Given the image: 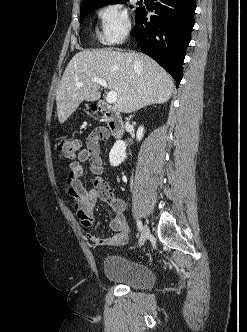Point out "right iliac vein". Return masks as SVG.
Listing matches in <instances>:
<instances>
[{
    "mask_svg": "<svg viewBox=\"0 0 247 332\" xmlns=\"http://www.w3.org/2000/svg\"><path fill=\"white\" fill-rule=\"evenodd\" d=\"M149 234H150L149 228H148L147 225H145L143 227V230H142V233H141V236H140V239H139V246H142L145 243V241L148 238Z\"/></svg>",
    "mask_w": 247,
    "mask_h": 332,
    "instance_id": "63e3f726",
    "label": "right iliac vein"
}]
</instances>
